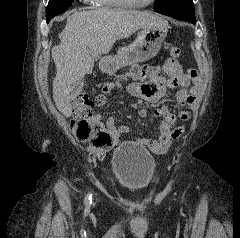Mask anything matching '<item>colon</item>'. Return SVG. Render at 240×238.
<instances>
[{
  "label": "colon",
  "instance_id": "1",
  "mask_svg": "<svg viewBox=\"0 0 240 238\" xmlns=\"http://www.w3.org/2000/svg\"><path fill=\"white\" fill-rule=\"evenodd\" d=\"M169 54L173 58L180 56V49L171 43L166 44ZM94 110V102L86 92L77 95L72 104V119L70 122L73 133L81 140L88 141V150L100 157L111 144V135L98 122L90 120Z\"/></svg>",
  "mask_w": 240,
  "mask_h": 238
}]
</instances>
